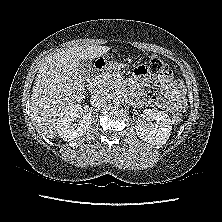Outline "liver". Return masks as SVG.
<instances>
[{
  "label": "liver",
  "instance_id": "liver-1",
  "mask_svg": "<svg viewBox=\"0 0 222 222\" xmlns=\"http://www.w3.org/2000/svg\"><path fill=\"white\" fill-rule=\"evenodd\" d=\"M110 50L108 46L83 45L47 55L38 69L32 88L30 117L41 136L54 139L61 120L85 99L81 61H92Z\"/></svg>",
  "mask_w": 222,
  "mask_h": 222
}]
</instances>
